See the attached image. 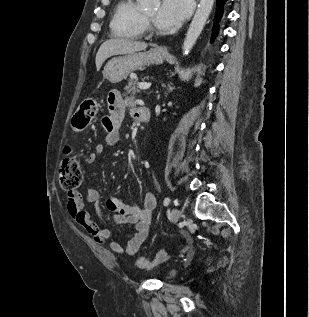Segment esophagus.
I'll return each mask as SVG.
<instances>
[{
	"label": "esophagus",
	"instance_id": "1",
	"mask_svg": "<svg viewBox=\"0 0 309 317\" xmlns=\"http://www.w3.org/2000/svg\"><path fill=\"white\" fill-rule=\"evenodd\" d=\"M161 49H162L163 51H166V50H167V48H166V47H162Z\"/></svg>",
	"mask_w": 309,
	"mask_h": 317
}]
</instances>
